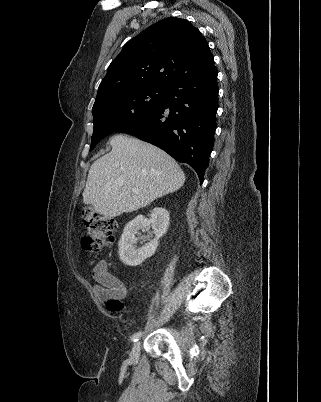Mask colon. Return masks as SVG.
<instances>
[{"label":"colon","mask_w":321,"mask_h":402,"mask_svg":"<svg viewBox=\"0 0 321 402\" xmlns=\"http://www.w3.org/2000/svg\"><path fill=\"white\" fill-rule=\"evenodd\" d=\"M82 221L88 232L82 239V247L85 251H99L106 244L114 241L118 229L116 219L98 215L93 210L87 209L82 213ZM110 305L114 310L122 309V303L118 300H111Z\"/></svg>","instance_id":"5ec220e1"}]
</instances>
